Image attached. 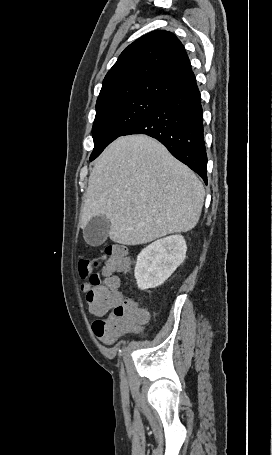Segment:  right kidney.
<instances>
[{"mask_svg": "<svg viewBox=\"0 0 272 455\" xmlns=\"http://www.w3.org/2000/svg\"><path fill=\"white\" fill-rule=\"evenodd\" d=\"M187 245L181 235L159 239L138 255L134 275L141 290L162 285L184 261Z\"/></svg>", "mask_w": 272, "mask_h": 455, "instance_id": "obj_1", "label": "right kidney"}]
</instances>
